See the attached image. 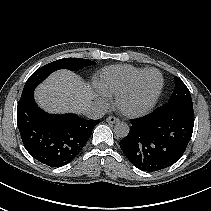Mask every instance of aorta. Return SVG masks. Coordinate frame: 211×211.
<instances>
[{
	"label": "aorta",
	"mask_w": 211,
	"mask_h": 211,
	"mask_svg": "<svg viewBox=\"0 0 211 211\" xmlns=\"http://www.w3.org/2000/svg\"><path fill=\"white\" fill-rule=\"evenodd\" d=\"M114 133L117 137L124 138L129 133V126L127 123L118 122L114 127Z\"/></svg>",
	"instance_id": "aorta-1"
}]
</instances>
